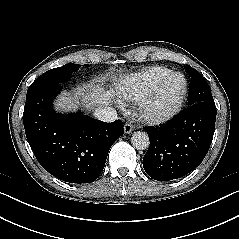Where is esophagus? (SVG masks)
Wrapping results in <instances>:
<instances>
[{
    "mask_svg": "<svg viewBox=\"0 0 239 239\" xmlns=\"http://www.w3.org/2000/svg\"><path fill=\"white\" fill-rule=\"evenodd\" d=\"M132 131H133V126H132V124L126 123V124L124 125V132H125L126 134H129V133H131Z\"/></svg>",
    "mask_w": 239,
    "mask_h": 239,
    "instance_id": "34e87169",
    "label": "esophagus"
}]
</instances>
